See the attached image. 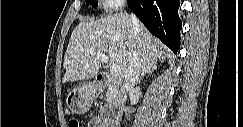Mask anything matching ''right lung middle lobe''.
<instances>
[{
    "instance_id": "1",
    "label": "right lung middle lobe",
    "mask_w": 243,
    "mask_h": 127,
    "mask_svg": "<svg viewBox=\"0 0 243 127\" xmlns=\"http://www.w3.org/2000/svg\"><path fill=\"white\" fill-rule=\"evenodd\" d=\"M91 4L94 8L97 7V3L95 0H87V5Z\"/></svg>"
}]
</instances>
